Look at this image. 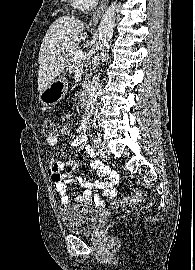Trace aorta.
Segmentation results:
<instances>
[{
    "mask_svg": "<svg viewBox=\"0 0 195 270\" xmlns=\"http://www.w3.org/2000/svg\"><path fill=\"white\" fill-rule=\"evenodd\" d=\"M116 8L117 2H112L111 5L106 9L105 13L103 14L101 21L98 27V38H99V45H100V58L103 59L106 57L107 51L109 49V44L113 37V31L115 27V18H116ZM99 74L95 75L92 78L90 90H89V98L87 101V109L89 114H93L94 108L97 102L98 96V88H99V81H100Z\"/></svg>",
    "mask_w": 195,
    "mask_h": 270,
    "instance_id": "1",
    "label": "aorta"
}]
</instances>
